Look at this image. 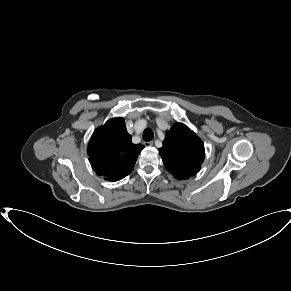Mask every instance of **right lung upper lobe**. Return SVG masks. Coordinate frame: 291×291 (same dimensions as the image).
Segmentation results:
<instances>
[{
    "label": "right lung upper lobe",
    "instance_id": "cb5924a9",
    "mask_svg": "<svg viewBox=\"0 0 291 291\" xmlns=\"http://www.w3.org/2000/svg\"><path fill=\"white\" fill-rule=\"evenodd\" d=\"M143 148L132 143L124 119L118 117L94 131L87 153L97 175L114 182L131 173Z\"/></svg>",
    "mask_w": 291,
    "mask_h": 291
}]
</instances>
